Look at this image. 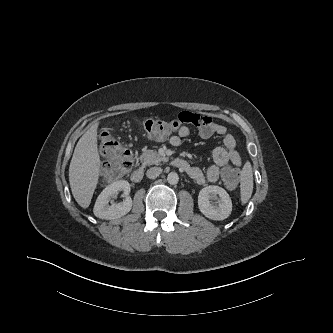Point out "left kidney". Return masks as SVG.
<instances>
[{
    "mask_svg": "<svg viewBox=\"0 0 333 333\" xmlns=\"http://www.w3.org/2000/svg\"><path fill=\"white\" fill-rule=\"evenodd\" d=\"M210 199H217L216 204H212ZM198 206L201 213L212 220H224L229 217L232 211V201L229 194L225 189L216 185H210L200 190Z\"/></svg>",
    "mask_w": 333,
    "mask_h": 333,
    "instance_id": "obj_1",
    "label": "left kidney"
}]
</instances>
